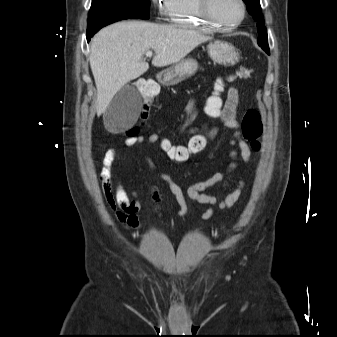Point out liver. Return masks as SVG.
Listing matches in <instances>:
<instances>
[{
  "instance_id": "obj_1",
  "label": "liver",
  "mask_w": 337,
  "mask_h": 337,
  "mask_svg": "<svg viewBox=\"0 0 337 337\" xmlns=\"http://www.w3.org/2000/svg\"><path fill=\"white\" fill-rule=\"evenodd\" d=\"M211 39L193 30L145 21H123L100 30L89 56L97 88V116L117 92L149 69L143 55L155 52L152 65L164 67L181 61L199 44Z\"/></svg>"
}]
</instances>
